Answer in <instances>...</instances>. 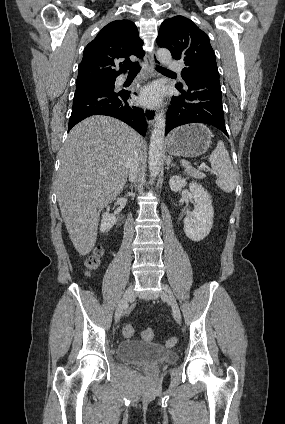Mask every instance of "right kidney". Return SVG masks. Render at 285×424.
Listing matches in <instances>:
<instances>
[{
    "label": "right kidney",
    "instance_id": "1",
    "mask_svg": "<svg viewBox=\"0 0 285 424\" xmlns=\"http://www.w3.org/2000/svg\"><path fill=\"white\" fill-rule=\"evenodd\" d=\"M110 207H107L106 212L102 214V220L100 225V231L102 233H107L117 222L115 215L110 214Z\"/></svg>",
    "mask_w": 285,
    "mask_h": 424
}]
</instances>
